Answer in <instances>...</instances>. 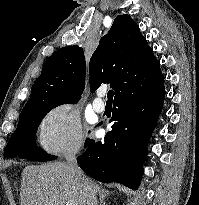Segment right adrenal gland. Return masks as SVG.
<instances>
[{
    "label": "right adrenal gland",
    "mask_w": 199,
    "mask_h": 205,
    "mask_svg": "<svg viewBox=\"0 0 199 205\" xmlns=\"http://www.w3.org/2000/svg\"><path fill=\"white\" fill-rule=\"evenodd\" d=\"M109 195V191L104 190V189H100L99 191V200H100V205H105V198Z\"/></svg>",
    "instance_id": "1"
}]
</instances>
